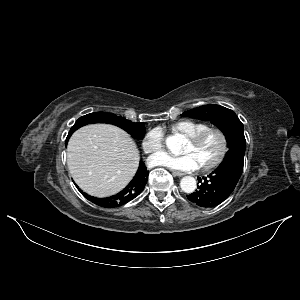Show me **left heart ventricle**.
<instances>
[{"label": "left heart ventricle", "mask_w": 300, "mask_h": 300, "mask_svg": "<svg viewBox=\"0 0 300 300\" xmlns=\"http://www.w3.org/2000/svg\"><path fill=\"white\" fill-rule=\"evenodd\" d=\"M220 150V135L216 131H210L197 144H191L185 141L180 153L191 154L198 166H201L214 160Z\"/></svg>", "instance_id": "left-heart-ventricle-1"}]
</instances>
